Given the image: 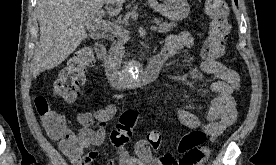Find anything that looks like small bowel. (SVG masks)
I'll return each mask as SVG.
<instances>
[{
  "mask_svg": "<svg viewBox=\"0 0 276 165\" xmlns=\"http://www.w3.org/2000/svg\"><path fill=\"white\" fill-rule=\"evenodd\" d=\"M193 43V36L187 31L172 34L166 39L161 56L166 60L183 49L191 47ZM203 74H210L217 78L210 85V90L216 94V97L210 102L206 122L202 123L194 113L181 106H177L175 112L183 126L190 130L202 129L211 139H215L237 119L233 94L240 88V76L235 70L216 60H204L200 69L190 70V77L194 81L202 80ZM116 110V105L111 104L93 112L76 114V120L81 128L76 134L71 133L78 142V149L66 151L60 143L61 150L73 165H90L98 157L96 147L103 144L107 124L116 114ZM84 149H88L85 154ZM208 154L206 147L201 148L197 157L181 158H175L170 154L156 155L137 150V157L131 158L123 147H116L115 155L109 160L108 165H132L136 162L150 165H202Z\"/></svg>",
  "mask_w": 276,
  "mask_h": 165,
  "instance_id": "1",
  "label": "small bowel"
}]
</instances>
